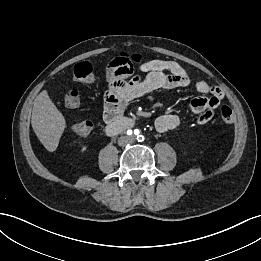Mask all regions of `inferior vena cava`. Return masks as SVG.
Segmentation results:
<instances>
[{
    "mask_svg": "<svg viewBox=\"0 0 261 261\" xmlns=\"http://www.w3.org/2000/svg\"><path fill=\"white\" fill-rule=\"evenodd\" d=\"M129 142H131V139H126L125 142H123V141L120 139V140L118 141V144H119V145H124V144L129 143Z\"/></svg>",
    "mask_w": 261,
    "mask_h": 261,
    "instance_id": "1",
    "label": "inferior vena cava"
}]
</instances>
